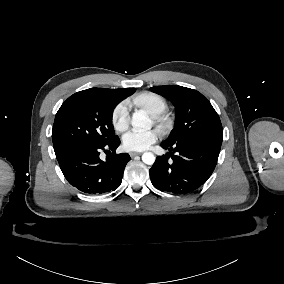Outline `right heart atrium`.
I'll list each match as a JSON object with an SVG mask.
<instances>
[{
    "label": "right heart atrium",
    "instance_id": "1",
    "mask_svg": "<svg viewBox=\"0 0 284 284\" xmlns=\"http://www.w3.org/2000/svg\"><path fill=\"white\" fill-rule=\"evenodd\" d=\"M129 106V101L123 100L116 105L112 112L111 122L118 131L123 130L127 126Z\"/></svg>",
    "mask_w": 284,
    "mask_h": 284
}]
</instances>
